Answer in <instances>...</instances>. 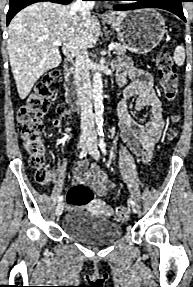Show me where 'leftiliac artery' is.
I'll return each mask as SVG.
<instances>
[{"label":"left iliac artery","instance_id":"obj_1","mask_svg":"<svg viewBox=\"0 0 193 287\" xmlns=\"http://www.w3.org/2000/svg\"><path fill=\"white\" fill-rule=\"evenodd\" d=\"M99 135H100L99 147H100V149H101L103 155L106 156V155H107V151H106V144H105V141H104V133L101 132V133H99ZM128 202H129L131 205L135 206V202L133 201L132 198H129V199H128Z\"/></svg>","mask_w":193,"mask_h":287}]
</instances>
